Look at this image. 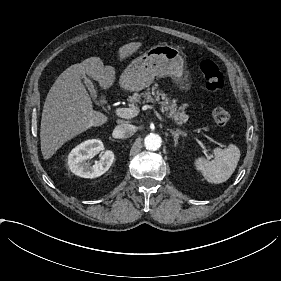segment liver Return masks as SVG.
<instances>
[{
    "mask_svg": "<svg viewBox=\"0 0 281 281\" xmlns=\"http://www.w3.org/2000/svg\"><path fill=\"white\" fill-rule=\"evenodd\" d=\"M138 47V43H129L120 48V53L125 56ZM85 73L97 79L102 87L110 86L115 75L111 66L103 67L100 58L91 57L68 67L58 76L42 110L40 139L45 159L73 136L106 121L102 113L92 110L91 98L80 79Z\"/></svg>",
    "mask_w": 281,
    "mask_h": 281,
    "instance_id": "6515ba94",
    "label": "liver"
}]
</instances>
